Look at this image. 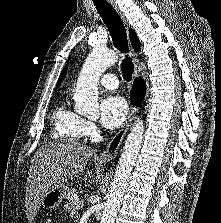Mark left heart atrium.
Wrapping results in <instances>:
<instances>
[{
	"label": "left heart atrium",
	"instance_id": "1",
	"mask_svg": "<svg viewBox=\"0 0 221 223\" xmlns=\"http://www.w3.org/2000/svg\"><path fill=\"white\" fill-rule=\"evenodd\" d=\"M100 122L108 129L119 127L126 119L128 107L120 96H107L100 105Z\"/></svg>",
	"mask_w": 221,
	"mask_h": 223
}]
</instances>
